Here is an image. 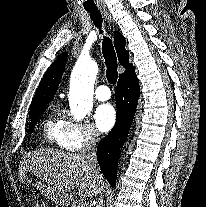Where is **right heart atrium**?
Here are the masks:
<instances>
[{
	"label": "right heart atrium",
	"mask_w": 206,
	"mask_h": 207,
	"mask_svg": "<svg viewBox=\"0 0 206 207\" xmlns=\"http://www.w3.org/2000/svg\"><path fill=\"white\" fill-rule=\"evenodd\" d=\"M96 129L87 122L63 121V145L66 149L77 151L96 146L99 142Z\"/></svg>",
	"instance_id": "1"
}]
</instances>
